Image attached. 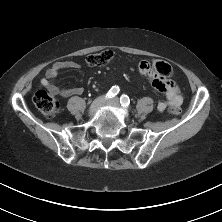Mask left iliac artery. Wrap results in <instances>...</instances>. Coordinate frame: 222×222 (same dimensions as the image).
Here are the masks:
<instances>
[{
    "label": "left iliac artery",
    "mask_w": 222,
    "mask_h": 222,
    "mask_svg": "<svg viewBox=\"0 0 222 222\" xmlns=\"http://www.w3.org/2000/svg\"><path fill=\"white\" fill-rule=\"evenodd\" d=\"M120 103L123 107L127 108L130 104V99L127 95H122L120 97Z\"/></svg>",
    "instance_id": "44dca946"
}]
</instances>
